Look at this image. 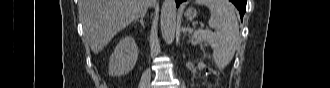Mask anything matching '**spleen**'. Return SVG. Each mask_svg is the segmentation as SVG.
<instances>
[{
    "mask_svg": "<svg viewBox=\"0 0 330 88\" xmlns=\"http://www.w3.org/2000/svg\"><path fill=\"white\" fill-rule=\"evenodd\" d=\"M195 3L209 8V26L216 32L198 29L194 32L193 39L197 42L207 41L213 49L216 65L224 68L232 60L240 42L234 8L228 0H197Z\"/></svg>",
    "mask_w": 330,
    "mask_h": 88,
    "instance_id": "3e777b00",
    "label": "spleen"
}]
</instances>
